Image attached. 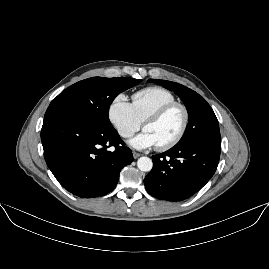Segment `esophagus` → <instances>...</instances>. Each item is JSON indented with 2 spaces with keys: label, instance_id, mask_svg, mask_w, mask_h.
Segmentation results:
<instances>
[{
  "label": "esophagus",
  "instance_id": "1",
  "mask_svg": "<svg viewBox=\"0 0 269 269\" xmlns=\"http://www.w3.org/2000/svg\"><path fill=\"white\" fill-rule=\"evenodd\" d=\"M142 154L138 153V152H135L133 151V156H134V159H137L138 157H140Z\"/></svg>",
  "mask_w": 269,
  "mask_h": 269
}]
</instances>
